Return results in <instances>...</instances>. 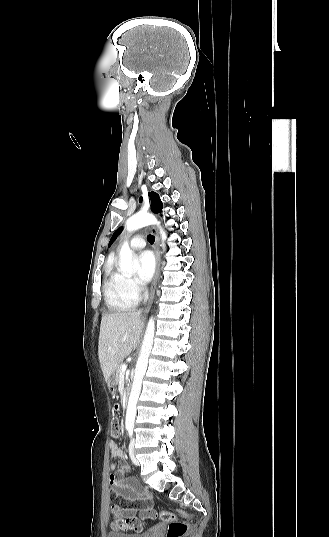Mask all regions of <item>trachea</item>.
<instances>
[{"label":"trachea","mask_w":329,"mask_h":537,"mask_svg":"<svg viewBox=\"0 0 329 537\" xmlns=\"http://www.w3.org/2000/svg\"><path fill=\"white\" fill-rule=\"evenodd\" d=\"M148 240H149L150 243H154L155 238H154V236L149 235V236H148Z\"/></svg>","instance_id":"3493384b"}]
</instances>
